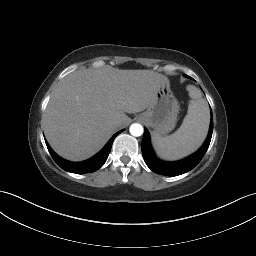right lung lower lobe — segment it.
<instances>
[{"label": "right lung lower lobe", "instance_id": "right-lung-lower-lobe-1", "mask_svg": "<svg viewBox=\"0 0 256 256\" xmlns=\"http://www.w3.org/2000/svg\"><path fill=\"white\" fill-rule=\"evenodd\" d=\"M121 132L122 131H119L116 134H114L112 138L109 140V142L98 154H96L94 157L83 162H70L62 159L52 150V148L49 146L47 141L45 142L52 158L62 169L72 173L86 174L89 172L91 173L96 171L106 162L112 147V143L115 137Z\"/></svg>", "mask_w": 256, "mask_h": 256}]
</instances>
